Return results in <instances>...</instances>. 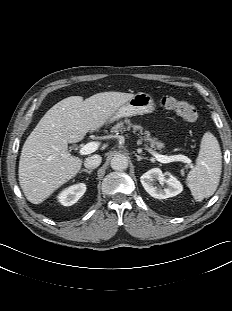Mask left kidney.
<instances>
[{
  "label": "left kidney",
  "mask_w": 232,
  "mask_h": 311,
  "mask_svg": "<svg viewBox=\"0 0 232 311\" xmlns=\"http://www.w3.org/2000/svg\"><path fill=\"white\" fill-rule=\"evenodd\" d=\"M140 181L146 192L157 199L174 197L183 191V186L176 177L168 172L162 173L159 168H153L144 173L140 177ZM157 181L162 186L166 184V188L158 187Z\"/></svg>",
  "instance_id": "left-kidney-1"
}]
</instances>
